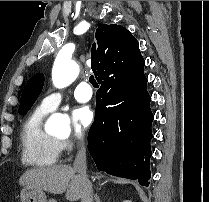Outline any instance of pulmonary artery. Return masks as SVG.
I'll return each instance as SVG.
<instances>
[{"mask_svg":"<svg viewBox=\"0 0 209 202\" xmlns=\"http://www.w3.org/2000/svg\"><path fill=\"white\" fill-rule=\"evenodd\" d=\"M93 95V90L86 82L79 83L74 89V97L78 102H88ZM62 102V94L60 92H52L45 96L40 103V107L46 111L56 110Z\"/></svg>","mask_w":209,"mask_h":202,"instance_id":"obj_1","label":"pulmonary artery"}]
</instances>
